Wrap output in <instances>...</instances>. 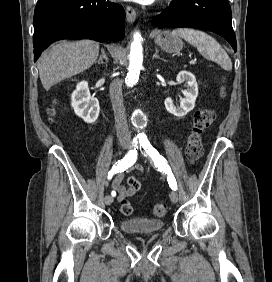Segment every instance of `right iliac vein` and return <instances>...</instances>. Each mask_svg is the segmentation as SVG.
I'll return each instance as SVG.
<instances>
[{"instance_id": "right-iliac-vein-1", "label": "right iliac vein", "mask_w": 272, "mask_h": 282, "mask_svg": "<svg viewBox=\"0 0 272 282\" xmlns=\"http://www.w3.org/2000/svg\"><path fill=\"white\" fill-rule=\"evenodd\" d=\"M120 145L122 147V149L124 150H128L129 149V143L127 141H121ZM105 204L106 205H111L113 203V198L110 195L105 196Z\"/></svg>"}]
</instances>
